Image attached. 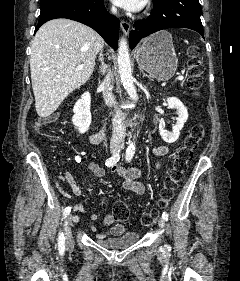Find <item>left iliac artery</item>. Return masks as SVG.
<instances>
[{
	"label": "left iliac artery",
	"instance_id": "44dca946",
	"mask_svg": "<svg viewBox=\"0 0 240 281\" xmlns=\"http://www.w3.org/2000/svg\"><path fill=\"white\" fill-rule=\"evenodd\" d=\"M134 153H135V147L134 145L131 143L129 144V146L127 147L126 149V155H125V158H126V161L127 162H130L134 156ZM162 218L164 220H168V213L167 212H163L162 213Z\"/></svg>",
	"mask_w": 240,
	"mask_h": 281
}]
</instances>
